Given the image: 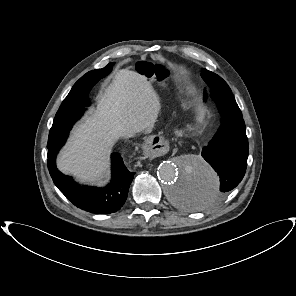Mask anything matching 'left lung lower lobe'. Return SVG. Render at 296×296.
Here are the masks:
<instances>
[{
	"label": "left lung lower lobe",
	"mask_w": 296,
	"mask_h": 296,
	"mask_svg": "<svg viewBox=\"0 0 296 296\" xmlns=\"http://www.w3.org/2000/svg\"><path fill=\"white\" fill-rule=\"evenodd\" d=\"M215 100L222 124L201 155L218 173L219 190L212 194L202 193L186 177L177 189V200L186 209L199 210L212 205L234 189L245 175L248 138L242 113L234 98Z\"/></svg>",
	"instance_id": "0a47b994"
}]
</instances>
